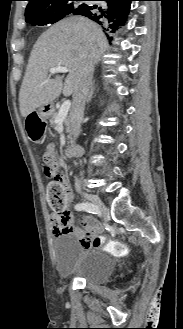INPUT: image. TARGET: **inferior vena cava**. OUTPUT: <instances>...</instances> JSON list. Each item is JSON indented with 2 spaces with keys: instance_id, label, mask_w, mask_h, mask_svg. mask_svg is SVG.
I'll return each instance as SVG.
<instances>
[{
  "instance_id": "inferior-vena-cava-1",
  "label": "inferior vena cava",
  "mask_w": 183,
  "mask_h": 329,
  "mask_svg": "<svg viewBox=\"0 0 183 329\" xmlns=\"http://www.w3.org/2000/svg\"><path fill=\"white\" fill-rule=\"evenodd\" d=\"M94 65L91 60L84 59L82 63L81 76L77 89L74 92V101L71 111V131L74 139L80 134L81 121L84 115L85 103L92 87ZM76 185L77 179H76Z\"/></svg>"
}]
</instances>
